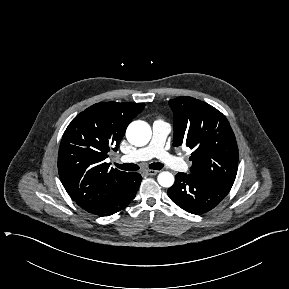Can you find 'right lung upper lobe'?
<instances>
[{
    "label": "right lung upper lobe",
    "instance_id": "cb5924a9",
    "mask_svg": "<svg viewBox=\"0 0 289 289\" xmlns=\"http://www.w3.org/2000/svg\"><path fill=\"white\" fill-rule=\"evenodd\" d=\"M141 103L99 102L77 115L65 130L58 152L60 180L71 198L93 213L126 184L131 172L104 160L117 151L130 122L142 112Z\"/></svg>",
    "mask_w": 289,
    "mask_h": 289
}]
</instances>
